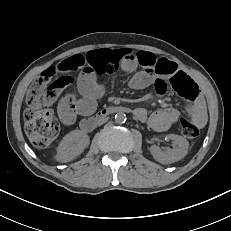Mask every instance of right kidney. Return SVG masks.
<instances>
[{
    "label": "right kidney",
    "instance_id": "obj_1",
    "mask_svg": "<svg viewBox=\"0 0 231 231\" xmlns=\"http://www.w3.org/2000/svg\"><path fill=\"white\" fill-rule=\"evenodd\" d=\"M89 136L81 130L66 134L57 148L56 160L66 163L80 155L89 145Z\"/></svg>",
    "mask_w": 231,
    "mask_h": 231
}]
</instances>
